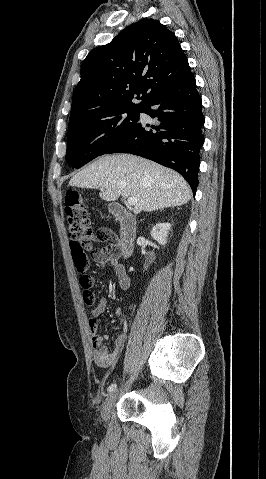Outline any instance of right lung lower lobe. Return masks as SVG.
I'll use <instances>...</instances> for the list:
<instances>
[{
  "label": "right lung lower lobe",
  "instance_id": "1",
  "mask_svg": "<svg viewBox=\"0 0 266 479\" xmlns=\"http://www.w3.org/2000/svg\"><path fill=\"white\" fill-rule=\"evenodd\" d=\"M202 100L191 73L163 87L143 105L142 112L159 121L157 126L138 122L105 154L131 153L179 172L195 195L199 152L203 145Z\"/></svg>",
  "mask_w": 266,
  "mask_h": 479
}]
</instances>
